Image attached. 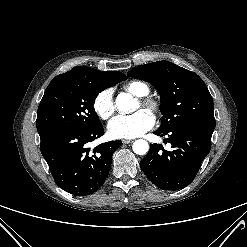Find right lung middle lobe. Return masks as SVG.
Returning a JSON list of instances; mask_svg holds the SVG:
<instances>
[{
	"label": "right lung middle lobe",
	"instance_id": "1",
	"mask_svg": "<svg viewBox=\"0 0 247 247\" xmlns=\"http://www.w3.org/2000/svg\"><path fill=\"white\" fill-rule=\"evenodd\" d=\"M112 86L83 77L51 81L37 112L40 137L62 130H89L99 126L101 122L94 110V101L101 91Z\"/></svg>",
	"mask_w": 247,
	"mask_h": 247
}]
</instances>
